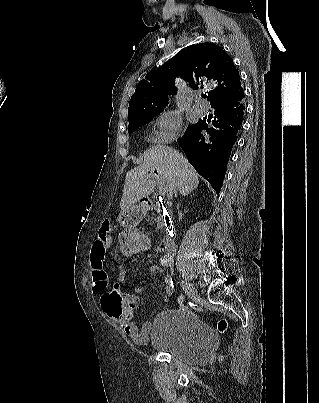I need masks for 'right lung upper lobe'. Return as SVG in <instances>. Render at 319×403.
<instances>
[{
	"mask_svg": "<svg viewBox=\"0 0 319 403\" xmlns=\"http://www.w3.org/2000/svg\"><path fill=\"white\" fill-rule=\"evenodd\" d=\"M180 76L190 87L213 86L208 92L211 106L243 94L233 59L222 47L211 43L191 45L150 71L136 87L128 110L129 122L168 104L174 95V79Z\"/></svg>",
	"mask_w": 319,
	"mask_h": 403,
	"instance_id": "obj_1",
	"label": "right lung upper lobe"
}]
</instances>
